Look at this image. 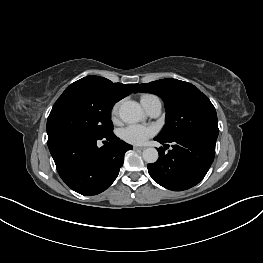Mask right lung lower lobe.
<instances>
[{"label": "right lung lower lobe", "mask_w": 263, "mask_h": 263, "mask_svg": "<svg viewBox=\"0 0 263 263\" xmlns=\"http://www.w3.org/2000/svg\"><path fill=\"white\" fill-rule=\"evenodd\" d=\"M104 146L98 147L99 141ZM48 147L62 180L82 195H96L116 179L124 154L132 146L114 134L105 137L62 134L48 139Z\"/></svg>", "instance_id": "right-lung-lower-lobe-1"}]
</instances>
